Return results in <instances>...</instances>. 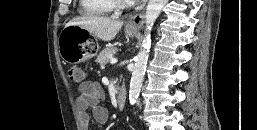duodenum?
I'll return each instance as SVG.
<instances>
[{"label": "duodenum", "instance_id": "obj_1", "mask_svg": "<svg viewBox=\"0 0 257 130\" xmlns=\"http://www.w3.org/2000/svg\"><path fill=\"white\" fill-rule=\"evenodd\" d=\"M127 101V94L125 89L121 88L117 94V106L120 110L125 108Z\"/></svg>", "mask_w": 257, "mask_h": 130}]
</instances>
